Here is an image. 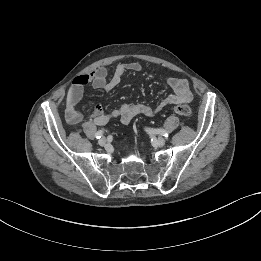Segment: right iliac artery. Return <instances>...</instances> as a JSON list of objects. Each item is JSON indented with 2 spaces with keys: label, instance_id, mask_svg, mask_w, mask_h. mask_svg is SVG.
I'll use <instances>...</instances> for the list:
<instances>
[{
  "label": "right iliac artery",
  "instance_id": "82829eb1",
  "mask_svg": "<svg viewBox=\"0 0 261 261\" xmlns=\"http://www.w3.org/2000/svg\"><path fill=\"white\" fill-rule=\"evenodd\" d=\"M102 135H103V130H99L98 132H96L95 138L99 139V138H101Z\"/></svg>",
  "mask_w": 261,
  "mask_h": 261
}]
</instances>
